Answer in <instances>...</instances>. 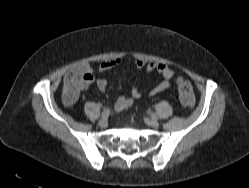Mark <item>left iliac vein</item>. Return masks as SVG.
Segmentation results:
<instances>
[{
  "mask_svg": "<svg viewBox=\"0 0 249 188\" xmlns=\"http://www.w3.org/2000/svg\"><path fill=\"white\" fill-rule=\"evenodd\" d=\"M145 123L152 127L159 126V121L157 120V118H145Z\"/></svg>",
  "mask_w": 249,
  "mask_h": 188,
  "instance_id": "1",
  "label": "left iliac vein"
}]
</instances>
